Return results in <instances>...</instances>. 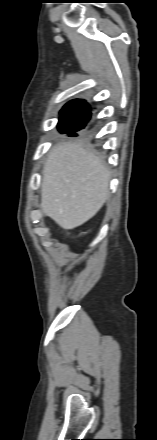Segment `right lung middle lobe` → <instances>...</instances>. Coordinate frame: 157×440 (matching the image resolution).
<instances>
[{"instance_id": "right-lung-middle-lobe-1", "label": "right lung middle lobe", "mask_w": 157, "mask_h": 440, "mask_svg": "<svg viewBox=\"0 0 157 440\" xmlns=\"http://www.w3.org/2000/svg\"><path fill=\"white\" fill-rule=\"evenodd\" d=\"M84 128V126L80 125L76 121H65L58 123V129L61 133H68L70 136H77L76 131Z\"/></svg>"}]
</instances>
